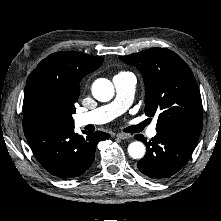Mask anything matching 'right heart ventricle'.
I'll list each match as a JSON object with an SVG mask.
<instances>
[{"mask_svg": "<svg viewBox=\"0 0 221 221\" xmlns=\"http://www.w3.org/2000/svg\"><path fill=\"white\" fill-rule=\"evenodd\" d=\"M125 72H121V73H119L118 75H120V74H124Z\"/></svg>", "mask_w": 221, "mask_h": 221, "instance_id": "e07e8e85", "label": "right heart ventricle"}]
</instances>
